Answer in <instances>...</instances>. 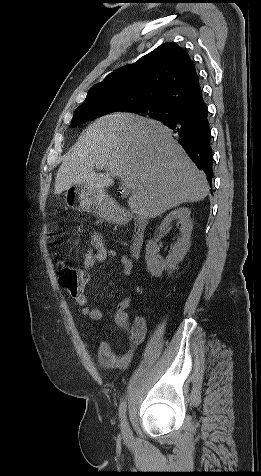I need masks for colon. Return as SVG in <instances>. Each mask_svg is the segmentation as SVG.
I'll list each match as a JSON object with an SVG mask.
<instances>
[{"mask_svg": "<svg viewBox=\"0 0 261 476\" xmlns=\"http://www.w3.org/2000/svg\"><path fill=\"white\" fill-rule=\"evenodd\" d=\"M58 280L60 285L69 293L76 292L83 282V278L79 271L69 265H61L59 267Z\"/></svg>", "mask_w": 261, "mask_h": 476, "instance_id": "colon-1", "label": "colon"}]
</instances>
